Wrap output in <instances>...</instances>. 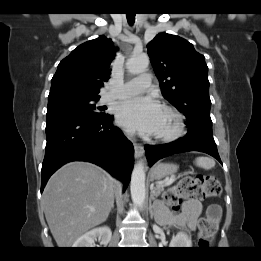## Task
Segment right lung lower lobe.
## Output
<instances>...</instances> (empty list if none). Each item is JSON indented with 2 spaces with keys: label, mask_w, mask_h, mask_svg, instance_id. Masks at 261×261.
Returning <instances> with one entry per match:
<instances>
[{
  "label": "right lung lower lobe",
  "mask_w": 261,
  "mask_h": 261,
  "mask_svg": "<svg viewBox=\"0 0 261 261\" xmlns=\"http://www.w3.org/2000/svg\"><path fill=\"white\" fill-rule=\"evenodd\" d=\"M113 117L67 114L47 119L41 192L50 176L70 161L95 163L127 187L134 164V148L122 131L113 126Z\"/></svg>",
  "instance_id": "98d812e1"
}]
</instances>
